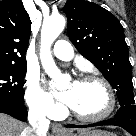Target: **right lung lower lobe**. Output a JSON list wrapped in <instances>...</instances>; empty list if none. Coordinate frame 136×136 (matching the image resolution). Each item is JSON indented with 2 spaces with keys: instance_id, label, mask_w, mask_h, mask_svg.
<instances>
[{
  "instance_id": "obj_1",
  "label": "right lung lower lobe",
  "mask_w": 136,
  "mask_h": 136,
  "mask_svg": "<svg viewBox=\"0 0 136 136\" xmlns=\"http://www.w3.org/2000/svg\"><path fill=\"white\" fill-rule=\"evenodd\" d=\"M0 112L8 114L21 121L27 119V108L24 104L3 103L0 104Z\"/></svg>"
}]
</instances>
